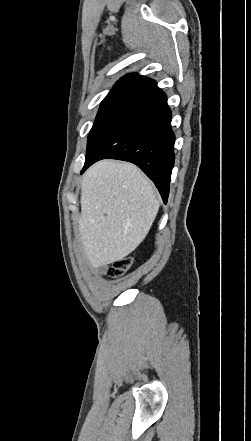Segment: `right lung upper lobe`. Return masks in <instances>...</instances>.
I'll return each mask as SVG.
<instances>
[{
  "label": "right lung upper lobe",
  "mask_w": 251,
  "mask_h": 441,
  "mask_svg": "<svg viewBox=\"0 0 251 441\" xmlns=\"http://www.w3.org/2000/svg\"><path fill=\"white\" fill-rule=\"evenodd\" d=\"M156 87L152 79L135 74L122 77L103 101L122 100L135 102Z\"/></svg>",
  "instance_id": "cb5924a9"
}]
</instances>
